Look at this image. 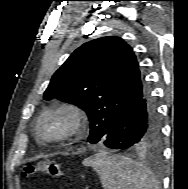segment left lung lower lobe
I'll list each match as a JSON object with an SVG mask.
<instances>
[{
  "instance_id": "left-lung-lower-lobe-1",
  "label": "left lung lower lobe",
  "mask_w": 188,
  "mask_h": 189,
  "mask_svg": "<svg viewBox=\"0 0 188 189\" xmlns=\"http://www.w3.org/2000/svg\"><path fill=\"white\" fill-rule=\"evenodd\" d=\"M159 133L157 108L145 89L121 114L102 142L109 148L134 150L159 139Z\"/></svg>"
}]
</instances>
